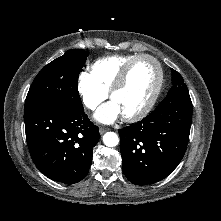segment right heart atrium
Listing matches in <instances>:
<instances>
[{"label": "right heart atrium", "mask_w": 221, "mask_h": 221, "mask_svg": "<svg viewBox=\"0 0 221 221\" xmlns=\"http://www.w3.org/2000/svg\"><path fill=\"white\" fill-rule=\"evenodd\" d=\"M77 89L83 104L90 110L98 108L108 96V93L87 72H82L79 75Z\"/></svg>", "instance_id": "obj_1"}]
</instances>
